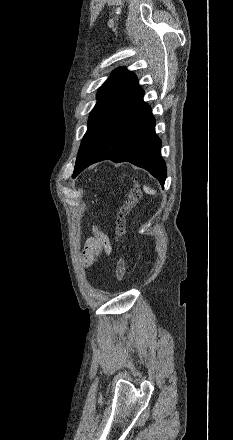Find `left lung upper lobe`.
I'll return each instance as SVG.
<instances>
[{
    "label": "left lung upper lobe",
    "instance_id": "5c2ea615",
    "mask_svg": "<svg viewBox=\"0 0 233 440\" xmlns=\"http://www.w3.org/2000/svg\"><path fill=\"white\" fill-rule=\"evenodd\" d=\"M142 91L136 76L122 68L117 69L101 86L97 94L98 102L88 119V129L82 139L75 168L85 160L109 124Z\"/></svg>",
    "mask_w": 233,
    "mask_h": 440
}]
</instances>
